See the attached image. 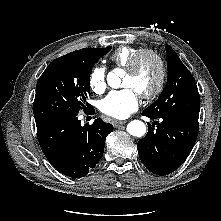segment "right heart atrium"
Returning <instances> with one entry per match:
<instances>
[{
	"label": "right heart atrium",
	"instance_id": "1",
	"mask_svg": "<svg viewBox=\"0 0 221 221\" xmlns=\"http://www.w3.org/2000/svg\"><path fill=\"white\" fill-rule=\"evenodd\" d=\"M88 84L90 89L101 94L106 89V70L102 66H95L89 74Z\"/></svg>",
	"mask_w": 221,
	"mask_h": 221
}]
</instances>
